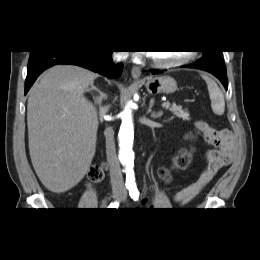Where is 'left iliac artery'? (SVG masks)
<instances>
[{
  "label": "left iliac artery",
  "mask_w": 260,
  "mask_h": 260,
  "mask_svg": "<svg viewBox=\"0 0 260 260\" xmlns=\"http://www.w3.org/2000/svg\"><path fill=\"white\" fill-rule=\"evenodd\" d=\"M129 195L133 200H138L140 193L135 185L129 187Z\"/></svg>",
  "instance_id": "obj_1"
}]
</instances>
